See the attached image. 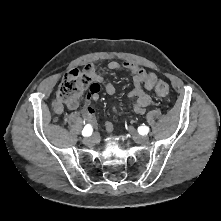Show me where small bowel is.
<instances>
[{
	"mask_svg": "<svg viewBox=\"0 0 221 221\" xmlns=\"http://www.w3.org/2000/svg\"><path fill=\"white\" fill-rule=\"evenodd\" d=\"M107 69L112 71L124 69L131 73L134 81V88L129 92V97L133 99L135 113L139 115L144 114L145 109L152 104V98L149 91L154 88L157 82L156 74L146 71L144 68L133 62L111 61L108 63ZM85 70L95 85H90L88 87V95L83 107V117L88 123L95 124V110L92 102L99 99V83L103 81V76L92 64L87 65ZM105 91L107 94L113 95L116 88L112 82H107L105 85ZM63 105L70 110H75L79 107L80 101L79 99H70L66 101L58 99L54 102V111L58 114L61 113L63 111ZM105 128L108 133H111L113 130L112 124L108 121L105 123Z\"/></svg>",
	"mask_w": 221,
	"mask_h": 221,
	"instance_id": "c3829d8e",
	"label": "small bowel"
}]
</instances>
